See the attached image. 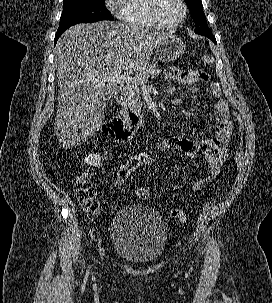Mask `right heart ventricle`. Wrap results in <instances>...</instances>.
Listing matches in <instances>:
<instances>
[{
  "instance_id": "1",
  "label": "right heart ventricle",
  "mask_w": 272,
  "mask_h": 303,
  "mask_svg": "<svg viewBox=\"0 0 272 303\" xmlns=\"http://www.w3.org/2000/svg\"><path fill=\"white\" fill-rule=\"evenodd\" d=\"M150 0H125L121 19L128 25L142 28H158L149 14Z\"/></svg>"
}]
</instances>
